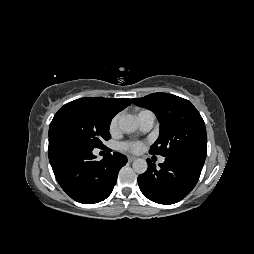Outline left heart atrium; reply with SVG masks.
I'll return each mask as SVG.
<instances>
[{
  "label": "left heart atrium",
  "instance_id": "obj_1",
  "mask_svg": "<svg viewBox=\"0 0 254 254\" xmlns=\"http://www.w3.org/2000/svg\"><path fill=\"white\" fill-rule=\"evenodd\" d=\"M143 147L141 142H125L121 144V149L130 152H139Z\"/></svg>",
  "mask_w": 254,
  "mask_h": 254
}]
</instances>
